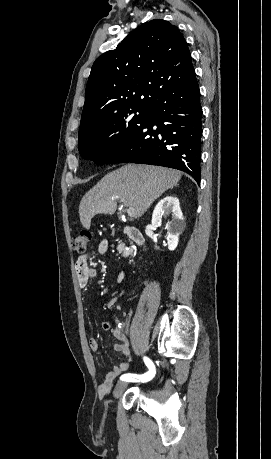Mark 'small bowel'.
I'll return each instance as SVG.
<instances>
[{"label":"small bowel","instance_id":"obj_1","mask_svg":"<svg viewBox=\"0 0 271 459\" xmlns=\"http://www.w3.org/2000/svg\"><path fill=\"white\" fill-rule=\"evenodd\" d=\"M109 251V241L107 239H102L99 241L97 248L90 254L81 255L75 264V270L81 288H85L88 285V282L91 278L95 277L96 270L90 265V260L93 256L106 255ZM123 275L118 276V281H121ZM119 324V323H118ZM102 328L105 331L111 329L110 321L106 320L102 322ZM125 326L120 323V326L117 325L115 329L112 330L114 337L117 339V343L114 345V350L120 352L128 360L121 362L119 365L113 366L109 371L106 372L104 376L103 383L99 387V395L104 397L111 390L115 379L120 376L124 371L129 368L131 361V350L128 342V338L125 334ZM89 347L92 351H97L99 348L98 342L96 339L91 338L89 340Z\"/></svg>","mask_w":271,"mask_h":459}]
</instances>
